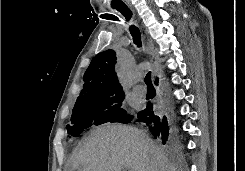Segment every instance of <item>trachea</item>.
<instances>
[{
  "label": "trachea",
  "instance_id": "trachea-1",
  "mask_svg": "<svg viewBox=\"0 0 245 171\" xmlns=\"http://www.w3.org/2000/svg\"><path fill=\"white\" fill-rule=\"evenodd\" d=\"M116 1L117 2H114L112 4V8L119 11L125 17L126 21H130V19L132 17V13H131L130 9L121 0H116ZM111 20L119 21V19L117 17H113V18H111ZM130 33L133 37L134 43L138 46H141L140 30L136 26L131 25L130 26ZM145 83L147 86H152L151 73L150 72H148L145 76Z\"/></svg>",
  "mask_w": 245,
  "mask_h": 171
}]
</instances>
